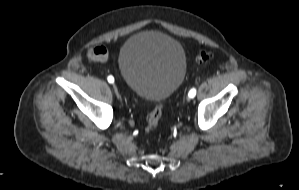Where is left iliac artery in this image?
I'll return each mask as SVG.
<instances>
[{"instance_id": "1", "label": "left iliac artery", "mask_w": 299, "mask_h": 190, "mask_svg": "<svg viewBox=\"0 0 299 190\" xmlns=\"http://www.w3.org/2000/svg\"><path fill=\"white\" fill-rule=\"evenodd\" d=\"M195 95H196V89L193 88V89H191V90L189 91L188 96H189L190 98H193V97H195Z\"/></svg>"}]
</instances>
